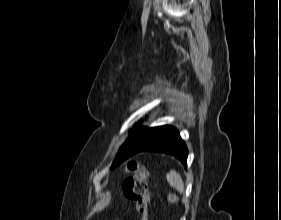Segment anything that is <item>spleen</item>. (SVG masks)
Instances as JSON below:
<instances>
[{"mask_svg":"<svg viewBox=\"0 0 281 220\" xmlns=\"http://www.w3.org/2000/svg\"><path fill=\"white\" fill-rule=\"evenodd\" d=\"M166 177L168 183L173 188L177 189V191H179L180 193H184V182L181 175L177 171L171 170L169 173H167Z\"/></svg>","mask_w":281,"mask_h":220,"instance_id":"spleen-1","label":"spleen"}]
</instances>
